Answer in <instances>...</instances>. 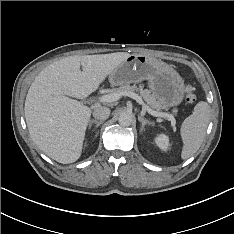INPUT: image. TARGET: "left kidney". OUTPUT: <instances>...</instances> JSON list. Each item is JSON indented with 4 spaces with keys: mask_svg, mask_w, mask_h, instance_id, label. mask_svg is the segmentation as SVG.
Here are the masks:
<instances>
[{
    "mask_svg": "<svg viewBox=\"0 0 234 234\" xmlns=\"http://www.w3.org/2000/svg\"><path fill=\"white\" fill-rule=\"evenodd\" d=\"M155 143L157 144V146L166 151L169 149V137L165 134H159L156 138H155Z\"/></svg>",
    "mask_w": 234,
    "mask_h": 234,
    "instance_id": "5707ae66",
    "label": "left kidney"
}]
</instances>
